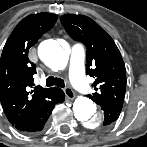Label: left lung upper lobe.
Wrapping results in <instances>:
<instances>
[{
	"instance_id": "1",
	"label": "left lung upper lobe",
	"mask_w": 147,
	"mask_h": 147,
	"mask_svg": "<svg viewBox=\"0 0 147 147\" xmlns=\"http://www.w3.org/2000/svg\"><path fill=\"white\" fill-rule=\"evenodd\" d=\"M61 22L75 41L86 46V74L93 77L95 93L89 96L105 106L123 102L126 89L125 64L113 39L91 18L65 14Z\"/></svg>"
}]
</instances>
